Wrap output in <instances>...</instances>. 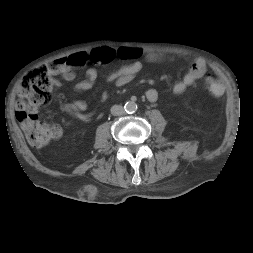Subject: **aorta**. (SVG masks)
<instances>
[{"label": "aorta", "instance_id": "1", "mask_svg": "<svg viewBox=\"0 0 253 253\" xmlns=\"http://www.w3.org/2000/svg\"><path fill=\"white\" fill-rule=\"evenodd\" d=\"M124 109L126 113H134L137 110V104L134 101H128L125 103Z\"/></svg>", "mask_w": 253, "mask_h": 253}]
</instances>
